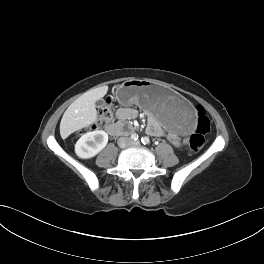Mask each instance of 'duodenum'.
Instances as JSON below:
<instances>
[{
	"instance_id": "obj_1",
	"label": "duodenum",
	"mask_w": 264,
	"mask_h": 264,
	"mask_svg": "<svg viewBox=\"0 0 264 264\" xmlns=\"http://www.w3.org/2000/svg\"><path fill=\"white\" fill-rule=\"evenodd\" d=\"M130 131H131L130 128L125 127L123 124L119 122L111 123L107 127V132L112 136L125 135L128 134Z\"/></svg>"
}]
</instances>
